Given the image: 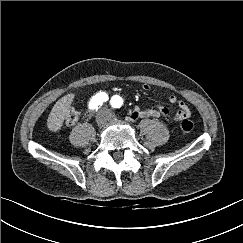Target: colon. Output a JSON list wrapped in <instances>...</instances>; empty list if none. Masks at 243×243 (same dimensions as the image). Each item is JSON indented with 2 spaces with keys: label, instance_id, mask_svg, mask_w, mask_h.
<instances>
[{
  "label": "colon",
  "instance_id": "5ec220e1",
  "mask_svg": "<svg viewBox=\"0 0 243 243\" xmlns=\"http://www.w3.org/2000/svg\"><path fill=\"white\" fill-rule=\"evenodd\" d=\"M81 118V113L72 108L69 110V112L67 113L66 115V123L68 125H73L75 123H77ZM193 128V124L190 120H183L181 123H180V130L183 132V133H189Z\"/></svg>",
  "mask_w": 243,
  "mask_h": 243
}]
</instances>
